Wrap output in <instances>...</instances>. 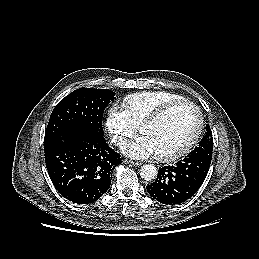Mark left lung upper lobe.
<instances>
[{
  "label": "left lung upper lobe",
  "instance_id": "5c2ea615",
  "mask_svg": "<svg viewBox=\"0 0 259 259\" xmlns=\"http://www.w3.org/2000/svg\"><path fill=\"white\" fill-rule=\"evenodd\" d=\"M206 131V135L203 136L202 140L199 142V145L196 146L195 149L189 153V155L201 156L211 160L213 151V138L209 125H206Z\"/></svg>",
  "mask_w": 259,
  "mask_h": 259
}]
</instances>
